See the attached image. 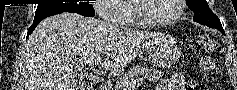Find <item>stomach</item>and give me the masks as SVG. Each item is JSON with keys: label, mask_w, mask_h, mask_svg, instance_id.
<instances>
[{"label": "stomach", "mask_w": 237, "mask_h": 90, "mask_svg": "<svg viewBox=\"0 0 237 90\" xmlns=\"http://www.w3.org/2000/svg\"><path fill=\"white\" fill-rule=\"evenodd\" d=\"M180 50L174 46L154 47L150 56L156 66L167 68L175 64L180 58Z\"/></svg>", "instance_id": "stomach-1"}]
</instances>
